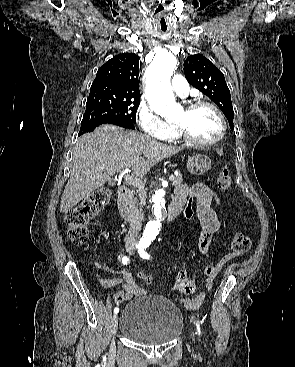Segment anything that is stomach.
<instances>
[{
  "instance_id": "0dacf381",
  "label": "stomach",
  "mask_w": 295,
  "mask_h": 367,
  "mask_svg": "<svg viewBox=\"0 0 295 367\" xmlns=\"http://www.w3.org/2000/svg\"><path fill=\"white\" fill-rule=\"evenodd\" d=\"M211 168V160L203 154H196L187 161V170L194 175H202Z\"/></svg>"
}]
</instances>
